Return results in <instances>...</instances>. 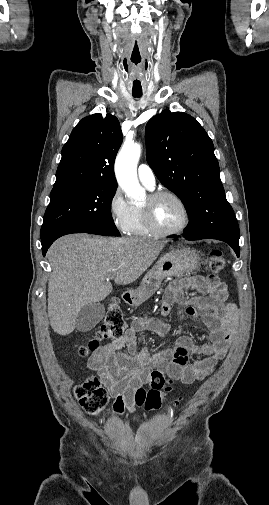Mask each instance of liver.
Returning <instances> with one entry per match:
<instances>
[{
	"label": "liver",
	"instance_id": "1",
	"mask_svg": "<svg viewBox=\"0 0 269 505\" xmlns=\"http://www.w3.org/2000/svg\"><path fill=\"white\" fill-rule=\"evenodd\" d=\"M163 245L146 238H106L72 234L55 241L47 252L48 316L54 332L66 336L76 327L83 306L104 300L118 285L137 280L156 260Z\"/></svg>",
	"mask_w": 269,
	"mask_h": 505
}]
</instances>
